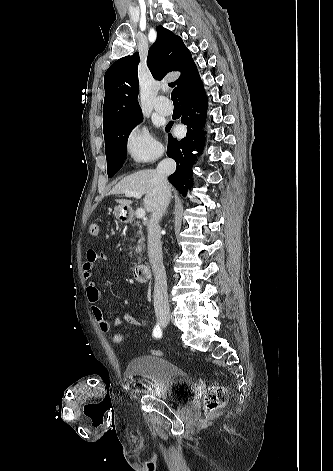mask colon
<instances>
[{
    "instance_id": "obj_1",
    "label": "colon",
    "mask_w": 333,
    "mask_h": 471,
    "mask_svg": "<svg viewBox=\"0 0 333 471\" xmlns=\"http://www.w3.org/2000/svg\"><path fill=\"white\" fill-rule=\"evenodd\" d=\"M89 233L92 236L99 234V226L96 223H92L89 226ZM124 335L121 332H116L112 336V341L115 345L120 346L124 342ZM152 355L161 356L163 353L160 350H152ZM227 402L226 389L223 386L215 385L210 387L204 395L205 410L210 413L222 406Z\"/></svg>"
}]
</instances>
